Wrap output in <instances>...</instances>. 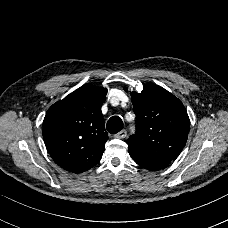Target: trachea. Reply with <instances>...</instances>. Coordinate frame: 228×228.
<instances>
[{"mask_svg": "<svg viewBox=\"0 0 228 228\" xmlns=\"http://www.w3.org/2000/svg\"><path fill=\"white\" fill-rule=\"evenodd\" d=\"M107 131L111 134H116L123 128V121L119 116L111 117L106 125Z\"/></svg>", "mask_w": 228, "mask_h": 228, "instance_id": "1", "label": "trachea"}]
</instances>
